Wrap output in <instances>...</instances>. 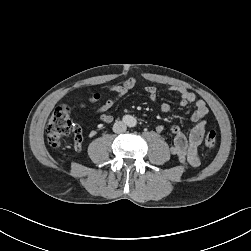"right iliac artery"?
<instances>
[{
    "label": "right iliac artery",
    "mask_w": 251,
    "mask_h": 251,
    "mask_svg": "<svg viewBox=\"0 0 251 251\" xmlns=\"http://www.w3.org/2000/svg\"><path fill=\"white\" fill-rule=\"evenodd\" d=\"M123 121L127 123L129 121V117L128 116L123 117Z\"/></svg>",
    "instance_id": "82829eb1"
}]
</instances>
